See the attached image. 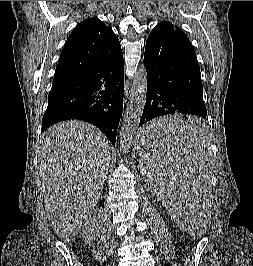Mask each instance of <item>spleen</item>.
I'll return each instance as SVG.
<instances>
[{"label":"spleen","instance_id":"1","mask_svg":"<svg viewBox=\"0 0 253 266\" xmlns=\"http://www.w3.org/2000/svg\"><path fill=\"white\" fill-rule=\"evenodd\" d=\"M146 138H139V168L144 170L146 187L154 190L174 213L177 229L184 235H209L207 216L212 173L211 141H205L206 123L194 111H170L142 123Z\"/></svg>","mask_w":253,"mask_h":266}]
</instances>
